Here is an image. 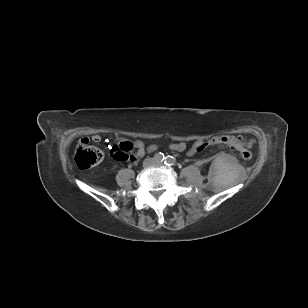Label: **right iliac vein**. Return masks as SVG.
<instances>
[{"mask_svg": "<svg viewBox=\"0 0 308 308\" xmlns=\"http://www.w3.org/2000/svg\"><path fill=\"white\" fill-rule=\"evenodd\" d=\"M152 164H154V160L151 159V158H148V159L144 160L143 167H148V166H150Z\"/></svg>", "mask_w": 308, "mask_h": 308, "instance_id": "63e3f726", "label": "right iliac vein"}]
</instances>
